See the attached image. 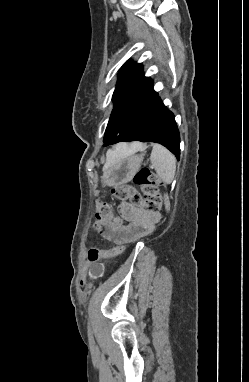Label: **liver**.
Wrapping results in <instances>:
<instances>
[{"instance_id": "6515ba94", "label": "liver", "mask_w": 249, "mask_h": 382, "mask_svg": "<svg viewBox=\"0 0 249 382\" xmlns=\"http://www.w3.org/2000/svg\"><path fill=\"white\" fill-rule=\"evenodd\" d=\"M143 148L144 146L141 143H133L130 146H128L127 144L118 145L115 151H110L107 154V159L104 168H107L109 166L113 158L120 156H128Z\"/></svg>"}]
</instances>
